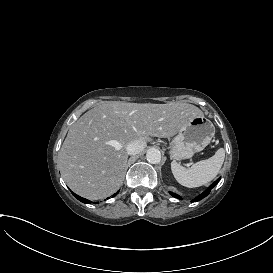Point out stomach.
<instances>
[{
    "instance_id": "obj_1",
    "label": "stomach",
    "mask_w": 273,
    "mask_h": 273,
    "mask_svg": "<svg viewBox=\"0 0 273 273\" xmlns=\"http://www.w3.org/2000/svg\"><path fill=\"white\" fill-rule=\"evenodd\" d=\"M215 135V126L203 116H196L182 127L173 139L172 156L175 159L189 158L208 146Z\"/></svg>"
}]
</instances>
